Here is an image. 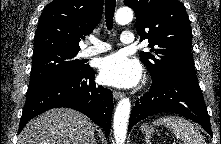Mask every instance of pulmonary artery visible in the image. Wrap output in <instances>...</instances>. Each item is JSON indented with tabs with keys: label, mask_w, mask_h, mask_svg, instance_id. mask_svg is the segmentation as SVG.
<instances>
[{
	"label": "pulmonary artery",
	"mask_w": 221,
	"mask_h": 144,
	"mask_svg": "<svg viewBox=\"0 0 221 144\" xmlns=\"http://www.w3.org/2000/svg\"><path fill=\"white\" fill-rule=\"evenodd\" d=\"M91 46L87 47L81 52L83 57H91L100 53L107 52L111 49V46L103 41H100L96 38L90 39ZM121 42L123 44H132L134 42V35L130 31H124L121 35Z\"/></svg>",
	"instance_id": "pulmonary-artery-1"
}]
</instances>
